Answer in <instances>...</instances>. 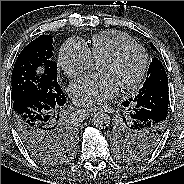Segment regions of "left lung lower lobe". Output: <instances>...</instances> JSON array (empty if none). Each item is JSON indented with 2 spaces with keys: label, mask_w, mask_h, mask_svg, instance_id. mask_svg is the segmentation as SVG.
Instances as JSON below:
<instances>
[{
  "label": "left lung lower lobe",
  "mask_w": 184,
  "mask_h": 184,
  "mask_svg": "<svg viewBox=\"0 0 184 184\" xmlns=\"http://www.w3.org/2000/svg\"><path fill=\"white\" fill-rule=\"evenodd\" d=\"M169 91L168 89H155L142 95H136L123 106L132 109L131 116L136 126L147 129L157 140L161 141L165 133L166 121L168 116ZM151 145H140L138 152L151 150Z\"/></svg>",
  "instance_id": "left-lung-lower-lobe-1"
}]
</instances>
